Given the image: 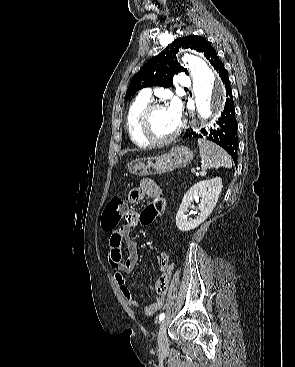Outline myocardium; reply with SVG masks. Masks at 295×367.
<instances>
[{
    "label": "myocardium",
    "mask_w": 295,
    "mask_h": 367,
    "mask_svg": "<svg viewBox=\"0 0 295 367\" xmlns=\"http://www.w3.org/2000/svg\"><path fill=\"white\" fill-rule=\"evenodd\" d=\"M161 108H165V105L160 102L150 103L144 108L139 119L140 134L146 141L153 145H164L171 143L179 136L182 130V124L179 123L176 131L168 137H158L153 133L151 119L154 112Z\"/></svg>",
    "instance_id": "obj_1"
}]
</instances>
